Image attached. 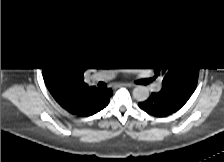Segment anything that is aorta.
<instances>
[{"instance_id": "762f6f07", "label": "aorta", "mask_w": 224, "mask_h": 162, "mask_svg": "<svg viewBox=\"0 0 224 162\" xmlns=\"http://www.w3.org/2000/svg\"><path fill=\"white\" fill-rule=\"evenodd\" d=\"M133 98L139 102L146 101L149 98V90L147 87L139 85L133 89Z\"/></svg>"}]
</instances>
